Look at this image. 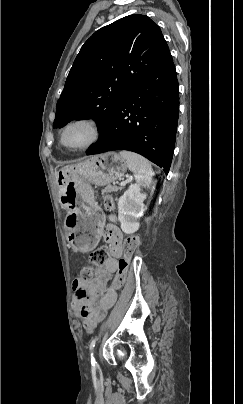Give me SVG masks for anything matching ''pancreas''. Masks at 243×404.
<instances>
[{
	"mask_svg": "<svg viewBox=\"0 0 243 404\" xmlns=\"http://www.w3.org/2000/svg\"><path fill=\"white\" fill-rule=\"evenodd\" d=\"M118 190H123V188H117V186H106L104 190H102V194H108V192H118Z\"/></svg>",
	"mask_w": 243,
	"mask_h": 404,
	"instance_id": "cf45deb5",
	"label": "pancreas"
}]
</instances>
